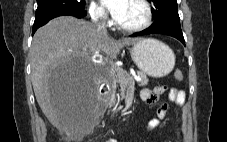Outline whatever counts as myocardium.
<instances>
[{"label": "myocardium", "mask_w": 227, "mask_h": 142, "mask_svg": "<svg viewBox=\"0 0 227 142\" xmlns=\"http://www.w3.org/2000/svg\"><path fill=\"white\" fill-rule=\"evenodd\" d=\"M140 4L144 8V19L141 23L132 26L122 25L119 22H115V26L117 29L124 32H139L146 28H148L153 21V8L151 3L148 0H138Z\"/></svg>", "instance_id": "myocardium-1"}]
</instances>
